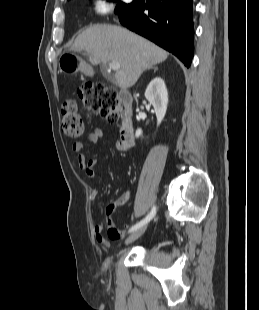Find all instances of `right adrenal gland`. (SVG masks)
Wrapping results in <instances>:
<instances>
[{"instance_id": "obj_1", "label": "right adrenal gland", "mask_w": 259, "mask_h": 310, "mask_svg": "<svg viewBox=\"0 0 259 310\" xmlns=\"http://www.w3.org/2000/svg\"><path fill=\"white\" fill-rule=\"evenodd\" d=\"M150 69H153V70H154V72H156V71H157V69H158V67H157V66H154V67H149V68H147L146 70H150Z\"/></svg>"}]
</instances>
